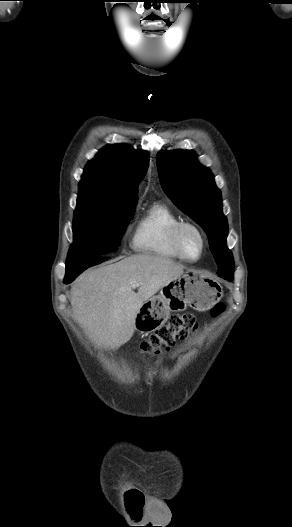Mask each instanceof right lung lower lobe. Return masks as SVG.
I'll list each match as a JSON object with an SVG mask.
<instances>
[{"mask_svg": "<svg viewBox=\"0 0 292 527\" xmlns=\"http://www.w3.org/2000/svg\"><path fill=\"white\" fill-rule=\"evenodd\" d=\"M105 260H107V258L67 260L66 275L64 278V283L65 284L71 283L84 270L96 264L102 263Z\"/></svg>", "mask_w": 292, "mask_h": 527, "instance_id": "obj_1", "label": "right lung lower lobe"}]
</instances>
